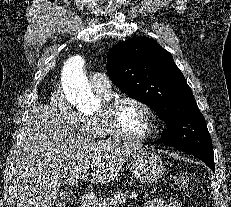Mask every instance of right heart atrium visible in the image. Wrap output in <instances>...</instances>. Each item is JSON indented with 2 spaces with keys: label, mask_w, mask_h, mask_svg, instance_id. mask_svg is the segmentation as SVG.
I'll return each instance as SVG.
<instances>
[{
  "label": "right heart atrium",
  "mask_w": 231,
  "mask_h": 207,
  "mask_svg": "<svg viewBox=\"0 0 231 207\" xmlns=\"http://www.w3.org/2000/svg\"><path fill=\"white\" fill-rule=\"evenodd\" d=\"M50 105L61 123L73 129H80L82 116L71 107L61 89L52 92Z\"/></svg>",
  "instance_id": "d8ad5b80"
}]
</instances>
